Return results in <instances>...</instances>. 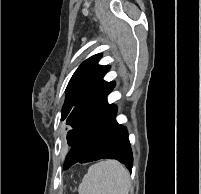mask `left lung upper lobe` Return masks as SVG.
Here are the masks:
<instances>
[{"mask_svg":"<svg viewBox=\"0 0 201 194\" xmlns=\"http://www.w3.org/2000/svg\"><path fill=\"white\" fill-rule=\"evenodd\" d=\"M101 57V54H96L85 60L68 83L61 115V120H65L69 128L67 137L74 136L88 119L107 104V96L115 87L114 81L103 80L110 66L98 65Z\"/></svg>","mask_w":201,"mask_h":194,"instance_id":"obj_1","label":"left lung upper lobe"}]
</instances>
